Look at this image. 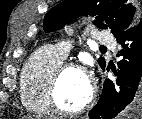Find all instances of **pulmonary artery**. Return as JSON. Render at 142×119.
<instances>
[{"label": "pulmonary artery", "mask_w": 142, "mask_h": 119, "mask_svg": "<svg viewBox=\"0 0 142 119\" xmlns=\"http://www.w3.org/2000/svg\"><path fill=\"white\" fill-rule=\"evenodd\" d=\"M96 42L108 46H114L116 43L114 38L103 30L96 35ZM54 49L62 59H66L71 51L70 44L66 41L56 44Z\"/></svg>", "instance_id": "pulmonary-artery-1"}]
</instances>
